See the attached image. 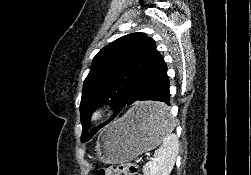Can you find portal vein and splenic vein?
I'll list each match as a JSON object with an SVG mask.
<instances>
[{"label": "portal vein and splenic vein", "instance_id": "portal-vein-and-splenic-vein-1", "mask_svg": "<svg viewBox=\"0 0 251 175\" xmlns=\"http://www.w3.org/2000/svg\"><path fill=\"white\" fill-rule=\"evenodd\" d=\"M146 161H147V162H150V161H151V158H150V157H147V158H146Z\"/></svg>", "mask_w": 251, "mask_h": 175}]
</instances>
